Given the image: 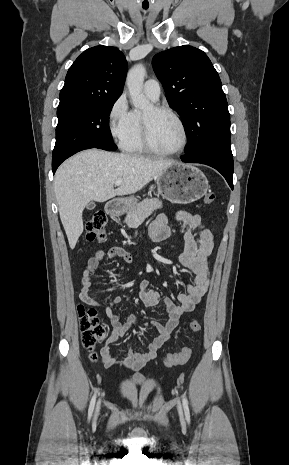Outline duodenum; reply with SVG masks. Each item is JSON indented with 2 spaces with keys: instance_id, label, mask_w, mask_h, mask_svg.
<instances>
[{
  "instance_id": "obj_1",
  "label": "duodenum",
  "mask_w": 289,
  "mask_h": 465,
  "mask_svg": "<svg viewBox=\"0 0 289 465\" xmlns=\"http://www.w3.org/2000/svg\"><path fill=\"white\" fill-rule=\"evenodd\" d=\"M106 212L110 217L112 218L116 217L119 213L118 204L114 201L110 202L106 208Z\"/></svg>"
}]
</instances>
